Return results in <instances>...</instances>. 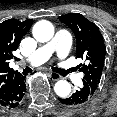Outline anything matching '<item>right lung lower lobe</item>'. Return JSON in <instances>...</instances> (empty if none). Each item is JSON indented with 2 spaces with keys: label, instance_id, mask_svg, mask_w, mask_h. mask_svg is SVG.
Returning <instances> with one entry per match:
<instances>
[{
  "label": "right lung lower lobe",
  "instance_id": "obj_1",
  "mask_svg": "<svg viewBox=\"0 0 117 117\" xmlns=\"http://www.w3.org/2000/svg\"><path fill=\"white\" fill-rule=\"evenodd\" d=\"M24 80L25 77L20 76L11 82L5 93L0 96L1 106L14 108L20 104L26 91Z\"/></svg>",
  "mask_w": 117,
  "mask_h": 117
}]
</instances>
